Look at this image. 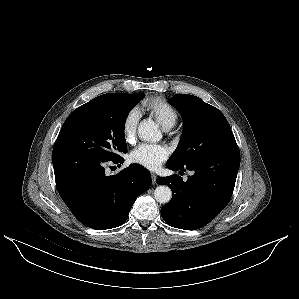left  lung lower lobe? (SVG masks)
I'll return each mask as SVG.
<instances>
[{
  "label": "left lung lower lobe",
  "instance_id": "obj_1",
  "mask_svg": "<svg viewBox=\"0 0 299 299\" xmlns=\"http://www.w3.org/2000/svg\"><path fill=\"white\" fill-rule=\"evenodd\" d=\"M240 165L238 146L226 148L186 165L166 163L168 169L192 170L187 181L174 174L159 177L158 184L172 190V199L161 208L164 221L175 228L196 230L212 221L229 203Z\"/></svg>",
  "mask_w": 299,
  "mask_h": 299
}]
</instances>
